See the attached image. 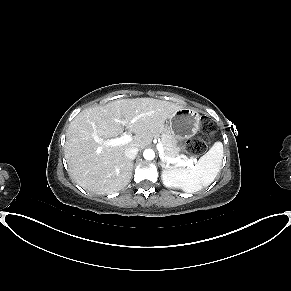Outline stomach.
I'll return each mask as SVG.
<instances>
[{"instance_id":"obj_1","label":"stomach","mask_w":291,"mask_h":291,"mask_svg":"<svg viewBox=\"0 0 291 291\" xmlns=\"http://www.w3.org/2000/svg\"><path fill=\"white\" fill-rule=\"evenodd\" d=\"M170 134L178 150L182 140L194 136L200 127L201 116L195 109L182 108L169 118Z\"/></svg>"}]
</instances>
